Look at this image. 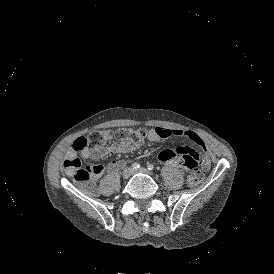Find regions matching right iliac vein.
Wrapping results in <instances>:
<instances>
[{
	"instance_id": "63e3f726",
	"label": "right iliac vein",
	"mask_w": 274,
	"mask_h": 274,
	"mask_svg": "<svg viewBox=\"0 0 274 274\" xmlns=\"http://www.w3.org/2000/svg\"><path fill=\"white\" fill-rule=\"evenodd\" d=\"M132 174V170L130 168H126L123 172H122V177L123 179H128Z\"/></svg>"
}]
</instances>
